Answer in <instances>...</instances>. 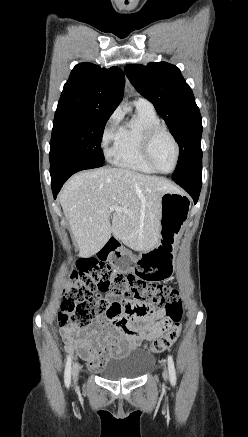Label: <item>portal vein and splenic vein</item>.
<instances>
[{"label":"portal vein and splenic vein","instance_id":"obj_1","mask_svg":"<svg viewBox=\"0 0 248 437\" xmlns=\"http://www.w3.org/2000/svg\"><path fill=\"white\" fill-rule=\"evenodd\" d=\"M109 210L111 212H113V211H125L124 208H121V207H118V206H115V205L111 206Z\"/></svg>","mask_w":248,"mask_h":437}]
</instances>
